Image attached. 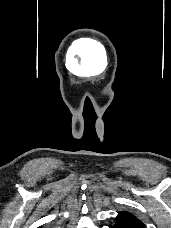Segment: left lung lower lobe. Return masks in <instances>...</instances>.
I'll use <instances>...</instances> for the list:
<instances>
[{"instance_id":"1","label":"left lung lower lobe","mask_w":171,"mask_h":228,"mask_svg":"<svg viewBox=\"0 0 171 228\" xmlns=\"http://www.w3.org/2000/svg\"><path fill=\"white\" fill-rule=\"evenodd\" d=\"M112 228H146L143 222L139 219L125 218L116 220Z\"/></svg>"}]
</instances>
